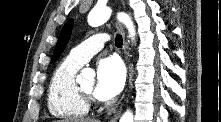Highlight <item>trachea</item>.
<instances>
[{"mask_svg":"<svg viewBox=\"0 0 221 122\" xmlns=\"http://www.w3.org/2000/svg\"><path fill=\"white\" fill-rule=\"evenodd\" d=\"M122 43H123L122 36L118 34L115 38V45L117 47H122Z\"/></svg>","mask_w":221,"mask_h":122,"instance_id":"3493384b","label":"trachea"}]
</instances>
